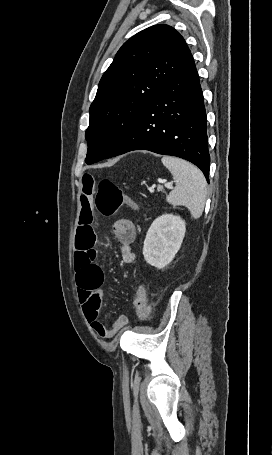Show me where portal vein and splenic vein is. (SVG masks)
Listing matches in <instances>:
<instances>
[{
    "mask_svg": "<svg viewBox=\"0 0 272 455\" xmlns=\"http://www.w3.org/2000/svg\"><path fill=\"white\" fill-rule=\"evenodd\" d=\"M164 185H165V187L168 188V189H172V188H173V183H172V182H170V183H165Z\"/></svg>",
    "mask_w": 272,
    "mask_h": 455,
    "instance_id": "18ae733b",
    "label": "portal vein and splenic vein"
}]
</instances>
